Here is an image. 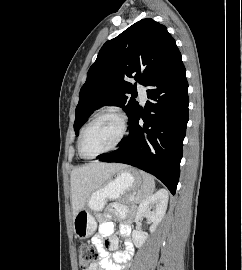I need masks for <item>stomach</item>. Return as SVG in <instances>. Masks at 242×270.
<instances>
[{
	"mask_svg": "<svg viewBox=\"0 0 242 270\" xmlns=\"http://www.w3.org/2000/svg\"><path fill=\"white\" fill-rule=\"evenodd\" d=\"M143 185L141 173L134 168L126 167L117 172L101 188L93 191L85 207L73 219L75 236L80 239L90 237L96 230L97 223L92 211H101L108 200L120 199L127 193H135Z\"/></svg>",
	"mask_w": 242,
	"mask_h": 270,
	"instance_id": "obj_1",
	"label": "stomach"
}]
</instances>
